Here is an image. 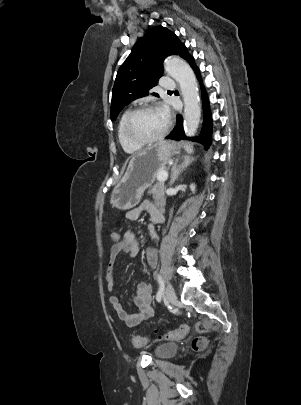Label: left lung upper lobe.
I'll return each instance as SVG.
<instances>
[{
  "mask_svg": "<svg viewBox=\"0 0 301 405\" xmlns=\"http://www.w3.org/2000/svg\"><path fill=\"white\" fill-rule=\"evenodd\" d=\"M169 55H179L185 60L190 56L186 46L165 27L155 28L137 42L115 79L110 111L112 121L125 105L148 95L157 85L163 73V61Z\"/></svg>",
  "mask_w": 301,
  "mask_h": 405,
  "instance_id": "left-lung-upper-lobe-1",
  "label": "left lung upper lobe"
}]
</instances>
